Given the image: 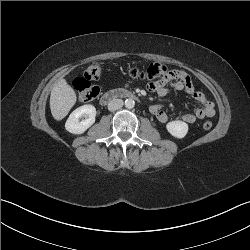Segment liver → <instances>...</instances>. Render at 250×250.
Returning a JSON list of instances; mask_svg holds the SVG:
<instances>
[{"mask_svg": "<svg viewBox=\"0 0 250 250\" xmlns=\"http://www.w3.org/2000/svg\"><path fill=\"white\" fill-rule=\"evenodd\" d=\"M76 100V93L72 87L65 79H60L52 88L50 95V109L54 119L60 121L66 117Z\"/></svg>", "mask_w": 250, "mask_h": 250, "instance_id": "1", "label": "liver"}]
</instances>
